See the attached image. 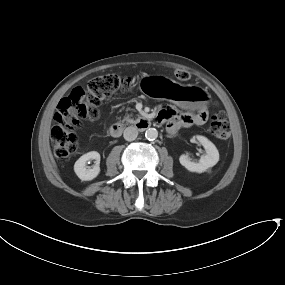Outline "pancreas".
<instances>
[{"mask_svg":"<svg viewBox=\"0 0 285 285\" xmlns=\"http://www.w3.org/2000/svg\"><path fill=\"white\" fill-rule=\"evenodd\" d=\"M123 122L134 124L137 122V120L131 118L130 115H126L123 119Z\"/></svg>","mask_w":285,"mask_h":285,"instance_id":"cf45deb5","label":"pancreas"}]
</instances>
